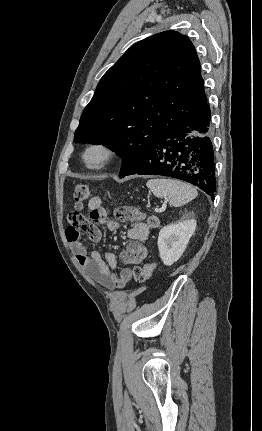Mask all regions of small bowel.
<instances>
[{"instance_id":"obj_1","label":"small bowel","mask_w":262,"mask_h":431,"mask_svg":"<svg viewBox=\"0 0 262 431\" xmlns=\"http://www.w3.org/2000/svg\"><path fill=\"white\" fill-rule=\"evenodd\" d=\"M102 203V198L92 197L88 202L92 221L88 223L80 219L76 224L69 221L70 226L66 229V238L74 250L77 262L83 267L86 274L103 287L116 291L124 288L130 281L133 274L130 265L139 263L146 257L147 248L144 242L151 231L159 227L160 221L155 216L146 217L137 210H122L120 219L133 221L127 230L129 243L119 254L107 252L104 261L97 250L86 251L79 240L80 234L86 233L92 240L98 241L100 231L97 225L106 226L111 230L119 227L118 222L108 218ZM142 219H146V222H142ZM117 270H120L119 274L116 272Z\"/></svg>"}]
</instances>
